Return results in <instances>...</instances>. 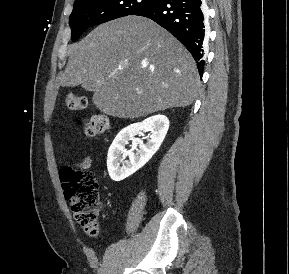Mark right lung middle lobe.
<instances>
[{
  "instance_id": "1",
  "label": "right lung middle lobe",
  "mask_w": 289,
  "mask_h": 274,
  "mask_svg": "<svg viewBox=\"0 0 289 274\" xmlns=\"http://www.w3.org/2000/svg\"><path fill=\"white\" fill-rule=\"evenodd\" d=\"M155 0H75L69 18L72 41L91 26L110 20L135 15L149 7Z\"/></svg>"
}]
</instances>
